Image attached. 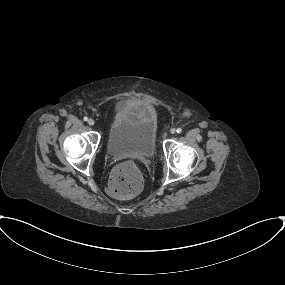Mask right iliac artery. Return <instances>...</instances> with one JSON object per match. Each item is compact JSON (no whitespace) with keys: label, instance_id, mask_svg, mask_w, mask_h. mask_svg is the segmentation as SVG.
<instances>
[{"label":"right iliac artery","instance_id":"1","mask_svg":"<svg viewBox=\"0 0 285 285\" xmlns=\"http://www.w3.org/2000/svg\"><path fill=\"white\" fill-rule=\"evenodd\" d=\"M83 120H84V121H88V117H84Z\"/></svg>","mask_w":285,"mask_h":285}]
</instances>
